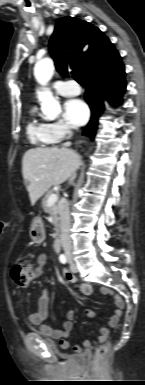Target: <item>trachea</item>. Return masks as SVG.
Masks as SVG:
<instances>
[{"mask_svg": "<svg viewBox=\"0 0 145 385\" xmlns=\"http://www.w3.org/2000/svg\"><path fill=\"white\" fill-rule=\"evenodd\" d=\"M71 74H72V77H73L79 84H81V85L84 84V81H83L81 75H80L77 71H72Z\"/></svg>", "mask_w": 145, "mask_h": 385, "instance_id": "3493384b", "label": "trachea"}]
</instances>
